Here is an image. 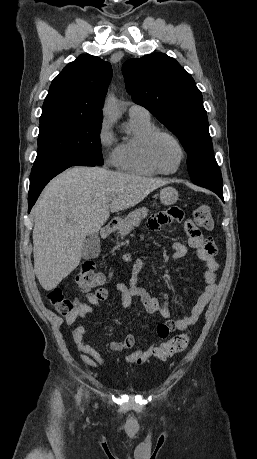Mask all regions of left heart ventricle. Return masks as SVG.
<instances>
[{
	"instance_id": "b2bd125f",
	"label": "left heart ventricle",
	"mask_w": 257,
	"mask_h": 459,
	"mask_svg": "<svg viewBox=\"0 0 257 459\" xmlns=\"http://www.w3.org/2000/svg\"><path fill=\"white\" fill-rule=\"evenodd\" d=\"M154 157L162 169L172 171L177 167L181 154L171 139L160 137L154 145Z\"/></svg>"
}]
</instances>
